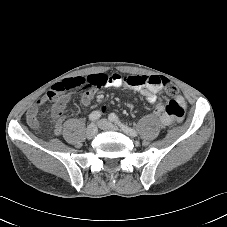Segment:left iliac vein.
I'll return each mask as SVG.
<instances>
[{
	"instance_id": "4c4485c4",
	"label": "left iliac vein",
	"mask_w": 227,
	"mask_h": 227,
	"mask_svg": "<svg viewBox=\"0 0 227 227\" xmlns=\"http://www.w3.org/2000/svg\"><path fill=\"white\" fill-rule=\"evenodd\" d=\"M99 128L103 130L116 131L118 128L106 119H101L98 121Z\"/></svg>"
}]
</instances>
